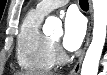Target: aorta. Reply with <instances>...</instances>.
<instances>
[{
	"instance_id": "1",
	"label": "aorta",
	"mask_w": 107,
	"mask_h": 75,
	"mask_svg": "<svg viewBox=\"0 0 107 75\" xmlns=\"http://www.w3.org/2000/svg\"><path fill=\"white\" fill-rule=\"evenodd\" d=\"M93 9V37L82 64L81 75H97L106 40L107 0H93ZM44 28L51 33H62L61 23L53 16L46 19Z\"/></svg>"
}]
</instances>
